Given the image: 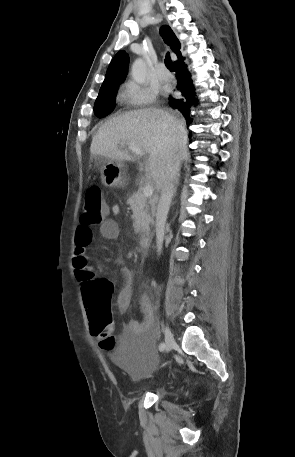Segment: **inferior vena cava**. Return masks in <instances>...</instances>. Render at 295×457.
<instances>
[{
    "label": "inferior vena cava",
    "instance_id": "obj_1",
    "mask_svg": "<svg viewBox=\"0 0 295 457\" xmlns=\"http://www.w3.org/2000/svg\"><path fill=\"white\" fill-rule=\"evenodd\" d=\"M179 166L180 160L178 156L170 159L161 181V195L156 211V247L159 255L162 250L165 222L179 175Z\"/></svg>",
    "mask_w": 295,
    "mask_h": 457
}]
</instances>
